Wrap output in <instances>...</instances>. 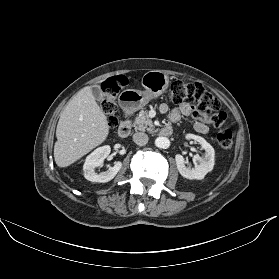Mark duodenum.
<instances>
[{
  "instance_id": "obj_1",
  "label": "duodenum",
  "mask_w": 279,
  "mask_h": 279,
  "mask_svg": "<svg viewBox=\"0 0 279 279\" xmlns=\"http://www.w3.org/2000/svg\"><path fill=\"white\" fill-rule=\"evenodd\" d=\"M128 118H129V112H126V119L122 121L118 127V135L122 138L127 137L130 133L131 124ZM160 134L162 136H170L172 134V127L170 125L164 126L161 129Z\"/></svg>"
}]
</instances>
